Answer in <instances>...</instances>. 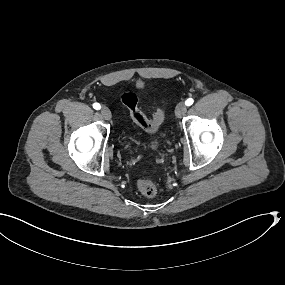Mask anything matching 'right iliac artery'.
<instances>
[{
  "instance_id": "82829eb1",
  "label": "right iliac artery",
  "mask_w": 285,
  "mask_h": 285,
  "mask_svg": "<svg viewBox=\"0 0 285 285\" xmlns=\"http://www.w3.org/2000/svg\"><path fill=\"white\" fill-rule=\"evenodd\" d=\"M93 108L96 109V110H99L101 108V106H100L99 103H94L93 104Z\"/></svg>"
}]
</instances>
